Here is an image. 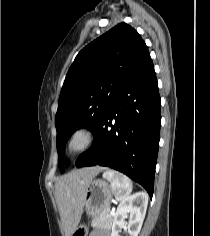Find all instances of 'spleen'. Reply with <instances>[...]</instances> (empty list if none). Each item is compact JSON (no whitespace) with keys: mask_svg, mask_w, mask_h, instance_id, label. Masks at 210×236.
Here are the masks:
<instances>
[{"mask_svg":"<svg viewBox=\"0 0 210 236\" xmlns=\"http://www.w3.org/2000/svg\"><path fill=\"white\" fill-rule=\"evenodd\" d=\"M103 177L110 181L111 188L119 201L125 200L132 192V182L126 175L107 170L103 173Z\"/></svg>","mask_w":210,"mask_h":236,"instance_id":"obj_1","label":"spleen"}]
</instances>
